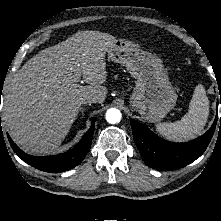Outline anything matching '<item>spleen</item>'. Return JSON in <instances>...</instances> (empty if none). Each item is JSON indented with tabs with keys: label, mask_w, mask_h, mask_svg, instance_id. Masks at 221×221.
Segmentation results:
<instances>
[{
	"label": "spleen",
	"mask_w": 221,
	"mask_h": 221,
	"mask_svg": "<svg viewBox=\"0 0 221 221\" xmlns=\"http://www.w3.org/2000/svg\"><path fill=\"white\" fill-rule=\"evenodd\" d=\"M209 115V101L204 87L198 85L189 104L188 113L172 123H158L157 132L173 141H187L200 135Z\"/></svg>",
	"instance_id": "obj_1"
}]
</instances>
